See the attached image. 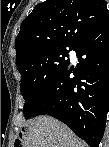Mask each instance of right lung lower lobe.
I'll return each mask as SVG.
<instances>
[{
  "mask_svg": "<svg viewBox=\"0 0 109 147\" xmlns=\"http://www.w3.org/2000/svg\"><path fill=\"white\" fill-rule=\"evenodd\" d=\"M72 49L77 53V68L67 64L35 116L49 114L69 126L90 147H98L109 102V18Z\"/></svg>",
  "mask_w": 109,
  "mask_h": 147,
  "instance_id": "1",
  "label": "right lung lower lobe"
}]
</instances>
